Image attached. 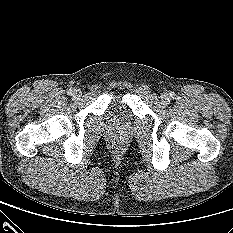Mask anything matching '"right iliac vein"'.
<instances>
[{"label": "right iliac vein", "mask_w": 233, "mask_h": 233, "mask_svg": "<svg viewBox=\"0 0 233 233\" xmlns=\"http://www.w3.org/2000/svg\"><path fill=\"white\" fill-rule=\"evenodd\" d=\"M81 95H82V93H81V91L79 89H74L73 92H72V96L74 98L78 99L79 97H81Z\"/></svg>", "instance_id": "63e3f726"}]
</instances>
